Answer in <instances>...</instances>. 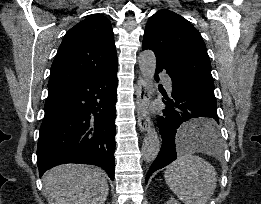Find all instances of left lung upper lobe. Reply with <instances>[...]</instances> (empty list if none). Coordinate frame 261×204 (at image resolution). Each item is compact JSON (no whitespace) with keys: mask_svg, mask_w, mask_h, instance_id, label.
Instances as JSON below:
<instances>
[{"mask_svg":"<svg viewBox=\"0 0 261 204\" xmlns=\"http://www.w3.org/2000/svg\"><path fill=\"white\" fill-rule=\"evenodd\" d=\"M142 49L176 79H188L214 91L211 63L198 30L177 13L162 9L146 24Z\"/></svg>","mask_w":261,"mask_h":204,"instance_id":"left-lung-upper-lobe-1","label":"left lung upper lobe"}]
</instances>
